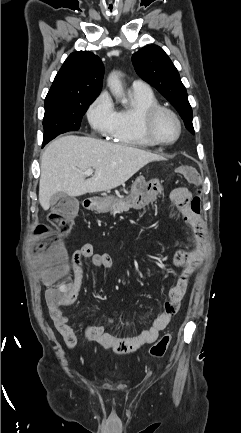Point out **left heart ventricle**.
<instances>
[{"label":"left heart ventricle","mask_w":241,"mask_h":433,"mask_svg":"<svg viewBox=\"0 0 241 433\" xmlns=\"http://www.w3.org/2000/svg\"><path fill=\"white\" fill-rule=\"evenodd\" d=\"M154 132L160 140L171 141L177 135L176 122L169 114L162 113L155 121Z\"/></svg>","instance_id":"left-heart-ventricle-1"}]
</instances>
